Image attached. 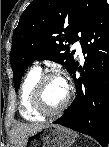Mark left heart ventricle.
<instances>
[{"label":"left heart ventricle","instance_id":"1","mask_svg":"<svg viewBox=\"0 0 109 147\" xmlns=\"http://www.w3.org/2000/svg\"><path fill=\"white\" fill-rule=\"evenodd\" d=\"M67 93V87L62 79H51L47 81L42 90V101L44 106L53 110L59 107Z\"/></svg>","mask_w":109,"mask_h":147}]
</instances>
